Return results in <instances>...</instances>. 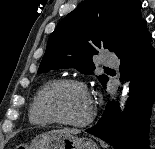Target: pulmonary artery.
<instances>
[{
	"label": "pulmonary artery",
	"mask_w": 155,
	"mask_h": 149,
	"mask_svg": "<svg viewBox=\"0 0 155 149\" xmlns=\"http://www.w3.org/2000/svg\"><path fill=\"white\" fill-rule=\"evenodd\" d=\"M103 63L107 66H117L119 59L115 54L108 53L103 56Z\"/></svg>",
	"instance_id": "1"
}]
</instances>
